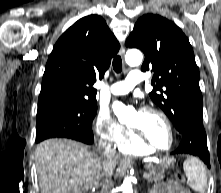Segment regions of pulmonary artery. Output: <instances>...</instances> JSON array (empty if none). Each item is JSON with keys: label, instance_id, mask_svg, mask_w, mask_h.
Listing matches in <instances>:
<instances>
[{"label": "pulmonary artery", "instance_id": "e3ab8cb5", "mask_svg": "<svg viewBox=\"0 0 221 193\" xmlns=\"http://www.w3.org/2000/svg\"><path fill=\"white\" fill-rule=\"evenodd\" d=\"M143 80L144 76L142 72L139 70H133L127 75L125 80L110 85L109 90L114 95L126 94Z\"/></svg>", "mask_w": 221, "mask_h": 193}]
</instances>
